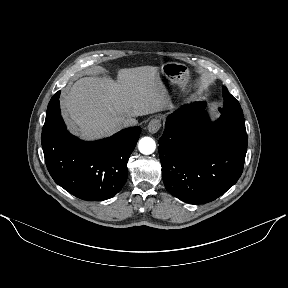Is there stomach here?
Wrapping results in <instances>:
<instances>
[{
  "label": "stomach",
  "mask_w": 288,
  "mask_h": 288,
  "mask_svg": "<svg viewBox=\"0 0 288 288\" xmlns=\"http://www.w3.org/2000/svg\"><path fill=\"white\" fill-rule=\"evenodd\" d=\"M161 71L173 84L179 86L182 93L187 92L189 69L185 64L168 62L161 67Z\"/></svg>",
  "instance_id": "stomach-1"
}]
</instances>
